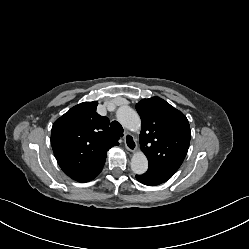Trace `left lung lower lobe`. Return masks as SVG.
I'll return each instance as SVG.
<instances>
[{"label":"left lung lower lobe","instance_id":"0a47b994","mask_svg":"<svg viewBox=\"0 0 249 249\" xmlns=\"http://www.w3.org/2000/svg\"><path fill=\"white\" fill-rule=\"evenodd\" d=\"M172 176L149 169L142 175H136L139 182L148 186H156L168 181Z\"/></svg>","mask_w":249,"mask_h":249}]
</instances>
